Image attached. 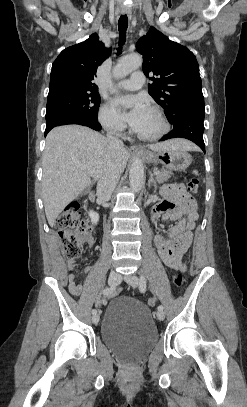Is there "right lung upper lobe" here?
I'll return each mask as SVG.
<instances>
[{
    "label": "right lung upper lobe",
    "mask_w": 247,
    "mask_h": 407,
    "mask_svg": "<svg viewBox=\"0 0 247 407\" xmlns=\"http://www.w3.org/2000/svg\"><path fill=\"white\" fill-rule=\"evenodd\" d=\"M109 54L96 33L86 41L64 49L53 63L49 93L61 89L97 91L93 80L98 66Z\"/></svg>",
    "instance_id": "right-lung-upper-lobe-1"
}]
</instances>
